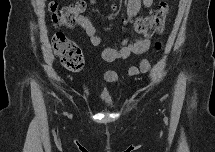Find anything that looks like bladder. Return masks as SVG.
I'll use <instances>...</instances> for the list:
<instances>
[{"mask_svg":"<svg viewBox=\"0 0 215 152\" xmlns=\"http://www.w3.org/2000/svg\"><path fill=\"white\" fill-rule=\"evenodd\" d=\"M104 102H105L106 104H108V105H111V104H112V100L109 99V98H105V99H104Z\"/></svg>","mask_w":215,"mask_h":152,"instance_id":"1","label":"bladder"}]
</instances>
